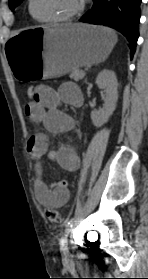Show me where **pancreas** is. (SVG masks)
<instances>
[{"instance_id":"1","label":"pancreas","mask_w":148,"mask_h":279,"mask_svg":"<svg viewBox=\"0 0 148 279\" xmlns=\"http://www.w3.org/2000/svg\"><path fill=\"white\" fill-rule=\"evenodd\" d=\"M82 72L83 71H80V70H77V69L73 70L70 73V78L73 79L74 81H79L84 77V75H82Z\"/></svg>"}]
</instances>
